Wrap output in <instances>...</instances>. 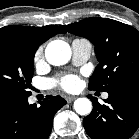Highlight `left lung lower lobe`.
Segmentation results:
<instances>
[{"label": "left lung lower lobe", "instance_id": "left-lung-lower-lobe-1", "mask_svg": "<svg viewBox=\"0 0 139 139\" xmlns=\"http://www.w3.org/2000/svg\"><path fill=\"white\" fill-rule=\"evenodd\" d=\"M109 97L100 104L89 96L93 110L83 119L92 139H128L139 127V77H133L108 91Z\"/></svg>", "mask_w": 139, "mask_h": 139}]
</instances>
